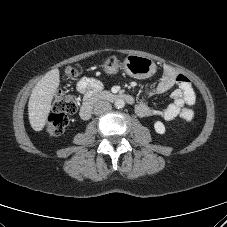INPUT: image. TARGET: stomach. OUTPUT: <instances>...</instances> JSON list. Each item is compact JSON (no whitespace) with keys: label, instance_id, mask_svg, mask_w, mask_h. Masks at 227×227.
Masks as SVG:
<instances>
[{"label":"stomach","instance_id":"stomach-1","mask_svg":"<svg viewBox=\"0 0 227 227\" xmlns=\"http://www.w3.org/2000/svg\"><path fill=\"white\" fill-rule=\"evenodd\" d=\"M120 67H123L129 76L137 79L149 78L157 69L151 58L136 54L128 55L122 65L114 55L108 57L102 64V68L107 74L116 73Z\"/></svg>","mask_w":227,"mask_h":227}]
</instances>
